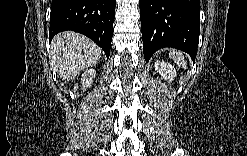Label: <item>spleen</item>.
<instances>
[{
    "mask_svg": "<svg viewBox=\"0 0 247 156\" xmlns=\"http://www.w3.org/2000/svg\"><path fill=\"white\" fill-rule=\"evenodd\" d=\"M169 55L173 59V61L177 63L178 66H181L183 68L187 67V63L185 62L184 55L182 52L172 50Z\"/></svg>",
    "mask_w": 247,
    "mask_h": 156,
    "instance_id": "3e777b00",
    "label": "spleen"
}]
</instances>
